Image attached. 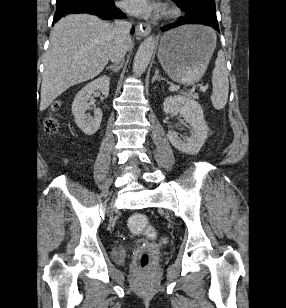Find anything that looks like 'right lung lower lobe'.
Returning a JSON list of instances; mask_svg holds the SVG:
<instances>
[{
  "instance_id": "98d812e1",
  "label": "right lung lower lobe",
  "mask_w": 286,
  "mask_h": 308,
  "mask_svg": "<svg viewBox=\"0 0 286 308\" xmlns=\"http://www.w3.org/2000/svg\"><path fill=\"white\" fill-rule=\"evenodd\" d=\"M90 13L102 19L125 18L121 10L116 8L113 0H60L56 3L53 23L66 14ZM134 28H132V33Z\"/></svg>"
}]
</instances>
